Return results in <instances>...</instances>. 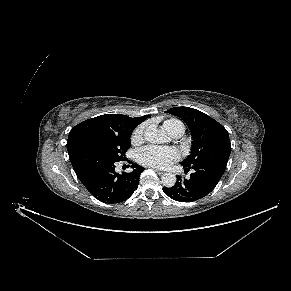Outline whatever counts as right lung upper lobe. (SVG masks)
I'll return each instance as SVG.
<instances>
[{"label": "right lung upper lobe", "mask_w": 291, "mask_h": 291, "mask_svg": "<svg viewBox=\"0 0 291 291\" xmlns=\"http://www.w3.org/2000/svg\"><path fill=\"white\" fill-rule=\"evenodd\" d=\"M147 118L148 115L131 118L120 114H105L83 121L73 127L69 133L67 140L69 157L78 152L86 151V144L92 138L109 133H132Z\"/></svg>", "instance_id": "1"}]
</instances>
